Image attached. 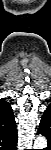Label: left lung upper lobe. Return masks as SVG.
Returning a JSON list of instances; mask_svg holds the SVG:
<instances>
[{"mask_svg":"<svg viewBox=\"0 0 51 150\" xmlns=\"http://www.w3.org/2000/svg\"><path fill=\"white\" fill-rule=\"evenodd\" d=\"M38 133L45 136L49 141V138L51 137V105H49L44 112Z\"/></svg>","mask_w":51,"mask_h":150,"instance_id":"5c2ea615","label":"left lung upper lobe"}]
</instances>
